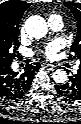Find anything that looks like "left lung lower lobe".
I'll return each instance as SVG.
<instances>
[{"instance_id": "1", "label": "left lung lower lobe", "mask_w": 81, "mask_h": 124, "mask_svg": "<svg viewBox=\"0 0 81 124\" xmlns=\"http://www.w3.org/2000/svg\"><path fill=\"white\" fill-rule=\"evenodd\" d=\"M70 82L64 85H55V88L59 95L67 96L71 100L81 98V71L74 76L69 77ZM67 100V99H65Z\"/></svg>"}]
</instances>
